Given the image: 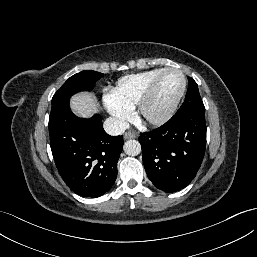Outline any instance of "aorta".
Segmentation results:
<instances>
[{
  "label": "aorta",
  "mask_w": 257,
  "mask_h": 257,
  "mask_svg": "<svg viewBox=\"0 0 257 257\" xmlns=\"http://www.w3.org/2000/svg\"><path fill=\"white\" fill-rule=\"evenodd\" d=\"M124 151L129 156H136L141 152V145L137 140H128L124 144Z\"/></svg>",
  "instance_id": "aorta-1"
}]
</instances>
